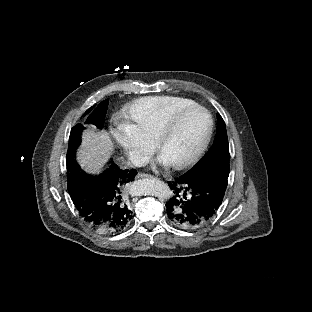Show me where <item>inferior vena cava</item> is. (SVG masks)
Here are the masks:
<instances>
[{"instance_id":"inferior-vena-cava-1","label":"inferior vena cava","mask_w":312,"mask_h":312,"mask_svg":"<svg viewBox=\"0 0 312 312\" xmlns=\"http://www.w3.org/2000/svg\"><path fill=\"white\" fill-rule=\"evenodd\" d=\"M128 161L133 166L142 167L148 163V158L141 152H133Z\"/></svg>"}]
</instances>
